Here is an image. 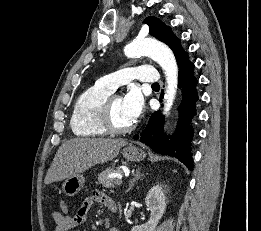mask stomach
Returning <instances> with one entry per match:
<instances>
[{"label":"stomach","instance_id":"0dacf381","mask_svg":"<svg viewBox=\"0 0 261 231\" xmlns=\"http://www.w3.org/2000/svg\"><path fill=\"white\" fill-rule=\"evenodd\" d=\"M122 155L127 161L139 162L146 156L145 152L136 146H127L122 150ZM85 178L82 174H75L65 180L62 189L65 195L74 196L83 188Z\"/></svg>","mask_w":261,"mask_h":231}]
</instances>
